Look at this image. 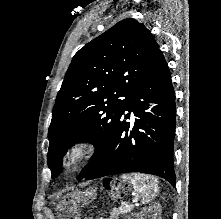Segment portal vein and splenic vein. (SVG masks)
Returning <instances> with one entry per match:
<instances>
[{"label": "portal vein and splenic vein", "instance_id": "1", "mask_svg": "<svg viewBox=\"0 0 221 219\" xmlns=\"http://www.w3.org/2000/svg\"><path fill=\"white\" fill-rule=\"evenodd\" d=\"M133 203H136V200H133ZM123 205L126 206V207L129 206L127 203H124Z\"/></svg>", "mask_w": 221, "mask_h": 219}]
</instances>
